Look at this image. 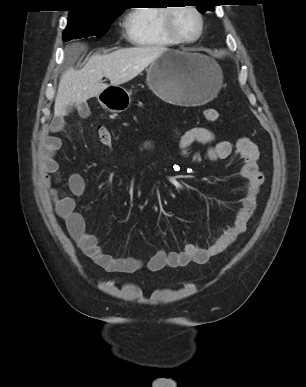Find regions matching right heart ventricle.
<instances>
[{
	"mask_svg": "<svg viewBox=\"0 0 306 387\" xmlns=\"http://www.w3.org/2000/svg\"><path fill=\"white\" fill-rule=\"evenodd\" d=\"M166 6H147L131 10L124 19L127 40L135 46L145 48H164L174 46L164 30Z\"/></svg>",
	"mask_w": 306,
	"mask_h": 387,
	"instance_id": "right-heart-ventricle-1",
	"label": "right heart ventricle"
}]
</instances>
